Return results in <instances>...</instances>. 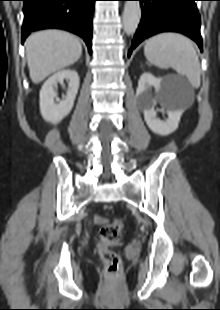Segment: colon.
<instances>
[{
	"instance_id": "obj_1",
	"label": "colon",
	"mask_w": 220,
	"mask_h": 310,
	"mask_svg": "<svg viewBox=\"0 0 220 310\" xmlns=\"http://www.w3.org/2000/svg\"><path fill=\"white\" fill-rule=\"evenodd\" d=\"M123 222L119 219L105 223L100 229V238L98 241V253L106 265V273L109 276H116L121 271V259L119 255L112 250L121 238Z\"/></svg>"
}]
</instances>
